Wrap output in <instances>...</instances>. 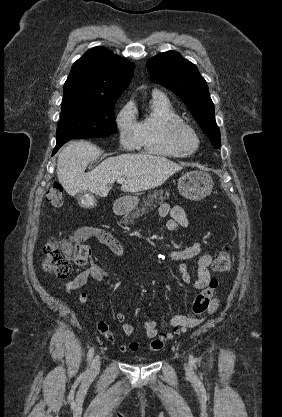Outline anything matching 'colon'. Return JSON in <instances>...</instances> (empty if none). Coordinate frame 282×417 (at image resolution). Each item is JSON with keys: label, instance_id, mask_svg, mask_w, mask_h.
<instances>
[{"label": "colon", "instance_id": "1", "mask_svg": "<svg viewBox=\"0 0 282 417\" xmlns=\"http://www.w3.org/2000/svg\"><path fill=\"white\" fill-rule=\"evenodd\" d=\"M46 198L54 208L63 205L62 186L55 183L46 191ZM88 251L83 243L71 238L52 237L45 243V256L41 259V269L44 273H53L57 276H69L73 267H81L87 263ZM217 272L224 273L232 268L230 254L223 251L218 254L213 263ZM219 281L215 278L209 280L207 286L197 295L191 314L199 316L208 311L213 304L214 296L218 290ZM165 346L163 339H158L153 346L155 353H160Z\"/></svg>", "mask_w": 282, "mask_h": 417}]
</instances>
